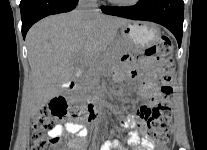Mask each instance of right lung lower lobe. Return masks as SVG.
I'll list each match as a JSON object with an SVG mask.
<instances>
[{
    "label": "right lung lower lobe",
    "instance_id": "1",
    "mask_svg": "<svg viewBox=\"0 0 207 150\" xmlns=\"http://www.w3.org/2000/svg\"><path fill=\"white\" fill-rule=\"evenodd\" d=\"M77 4L78 0H21L23 38L25 39L29 28L38 20L48 15L71 11Z\"/></svg>",
    "mask_w": 207,
    "mask_h": 150
}]
</instances>
